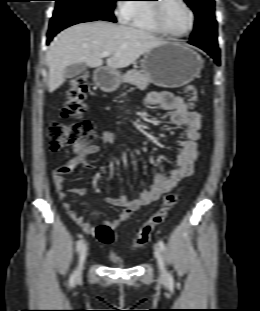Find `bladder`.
I'll use <instances>...</instances> for the list:
<instances>
[{
	"mask_svg": "<svg viewBox=\"0 0 260 311\" xmlns=\"http://www.w3.org/2000/svg\"><path fill=\"white\" fill-rule=\"evenodd\" d=\"M108 258L113 264H115L117 266H123L124 265L123 261L117 255L111 254V255H109Z\"/></svg>",
	"mask_w": 260,
	"mask_h": 311,
	"instance_id": "31cf9c89",
	"label": "bladder"
}]
</instances>
